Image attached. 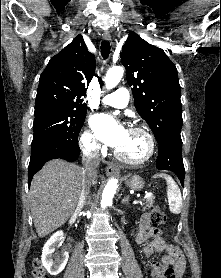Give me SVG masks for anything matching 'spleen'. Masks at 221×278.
<instances>
[{
    "mask_svg": "<svg viewBox=\"0 0 221 278\" xmlns=\"http://www.w3.org/2000/svg\"><path fill=\"white\" fill-rule=\"evenodd\" d=\"M154 177H163L167 182V197L169 202L170 212L174 214L180 213L182 206V196L180 189L176 182L166 174H156Z\"/></svg>",
    "mask_w": 221,
    "mask_h": 278,
    "instance_id": "obj_1",
    "label": "spleen"
}]
</instances>
